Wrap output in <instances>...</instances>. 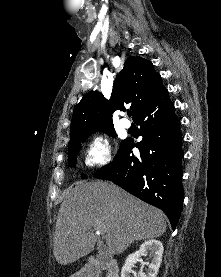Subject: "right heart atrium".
I'll list each match as a JSON object with an SVG mask.
<instances>
[{
	"label": "right heart atrium",
	"mask_w": 221,
	"mask_h": 277,
	"mask_svg": "<svg viewBox=\"0 0 221 277\" xmlns=\"http://www.w3.org/2000/svg\"><path fill=\"white\" fill-rule=\"evenodd\" d=\"M111 158V148L108 139L103 135L95 136L85 152V164L87 167L104 165Z\"/></svg>",
	"instance_id": "1"
}]
</instances>
